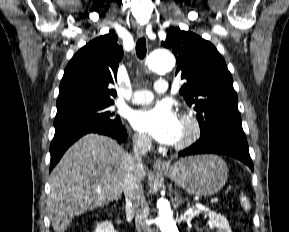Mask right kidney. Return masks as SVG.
<instances>
[{"label":"right kidney","mask_w":289,"mask_h":232,"mask_svg":"<svg viewBox=\"0 0 289 232\" xmlns=\"http://www.w3.org/2000/svg\"><path fill=\"white\" fill-rule=\"evenodd\" d=\"M94 232H116L111 222L104 221L97 225Z\"/></svg>","instance_id":"1"}]
</instances>
